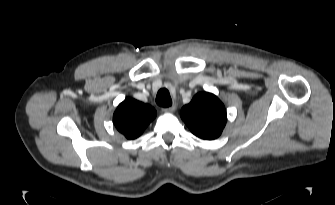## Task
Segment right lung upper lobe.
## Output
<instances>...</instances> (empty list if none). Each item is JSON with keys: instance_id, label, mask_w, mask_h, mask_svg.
<instances>
[{"instance_id": "1", "label": "right lung upper lobe", "mask_w": 335, "mask_h": 205, "mask_svg": "<svg viewBox=\"0 0 335 205\" xmlns=\"http://www.w3.org/2000/svg\"><path fill=\"white\" fill-rule=\"evenodd\" d=\"M155 117L156 111L149 104L126 99L117 107L113 120L118 131L127 139H135Z\"/></svg>"}]
</instances>
